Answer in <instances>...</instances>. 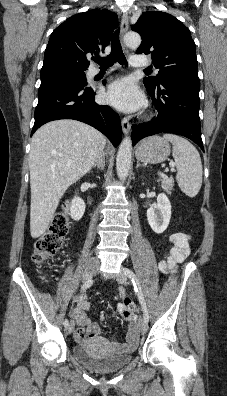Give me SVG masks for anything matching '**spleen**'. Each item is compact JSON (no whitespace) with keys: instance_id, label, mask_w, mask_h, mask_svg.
<instances>
[{"instance_id":"obj_1","label":"spleen","mask_w":227,"mask_h":396,"mask_svg":"<svg viewBox=\"0 0 227 396\" xmlns=\"http://www.w3.org/2000/svg\"><path fill=\"white\" fill-rule=\"evenodd\" d=\"M172 143V155L177 167L176 180L179 188L189 197H195L202 185V163L197 149L186 139L164 134Z\"/></svg>"}]
</instances>
